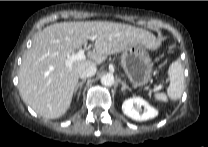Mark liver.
<instances>
[{"label":"liver","instance_id":"6515ba94","mask_svg":"<svg viewBox=\"0 0 208 147\" xmlns=\"http://www.w3.org/2000/svg\"><path fill=\"white\" fill-rule=\"evenodd\" d=\"M90 36H95L94 50L68 68L67 55L86 45ZM133 45L154 49L159 42L149 31L121 23L85 21L47 26L23 56L18 74L20 96L37 114L59 118L70 107L81 69L99 65L108 55Z\"/></svg>","mask_w":208,"mask_h":147}]
</instances>
